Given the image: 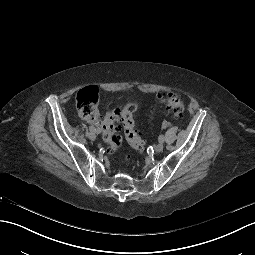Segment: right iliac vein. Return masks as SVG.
I'll list each match as a JSON object with an SVG mask.
<instances>
[{"instance_id": "obj_1", "label": "right iliac vein", "mask_w": 255, "mask_h": 255, "mask_svg": "<svg viewBox=\"0 0 255 255\" xmlns=\"http://www.w3.org/2000/svg\"><path fill=\"white\" fill-rule=\"evenodd\" d=\"M88 136H89V138H90L91 140H95V139H96V133L93 132V131H90L89 134H88Z\"/></svg>"}]
</instances>
